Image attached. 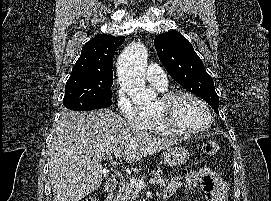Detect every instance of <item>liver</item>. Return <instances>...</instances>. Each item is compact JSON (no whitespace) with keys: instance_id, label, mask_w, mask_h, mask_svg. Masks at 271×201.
<instances>
[{"instance_id":"obj_1","label":"liver","mask_w":271,"mask_h":201,"mask_svg":"<svg viewBox=\"0 0 271 201\" xmlns=\"http://www.w3.org/2000/svg\"><path fill=\"white\" fill-rule=\"evenodd\" d=\"M176 142L138 130L110 109L64 110L49 146L53 201H80L97 190L104 174L102 158L117 148H124V159L134 163Z\"/></svg>"}]
</instances>
